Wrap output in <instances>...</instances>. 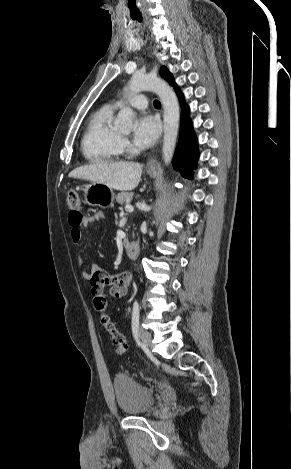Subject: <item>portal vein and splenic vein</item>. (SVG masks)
<instances>
[{"mask_svg":"<svg viewBox=\"0 0 291 469\" xmlns=\"http://www.w3.org/2000/svg\"><path fill=\"white\" fill-rule=\"evenodd\" d=\"M125 209L128 210V211H133V210H134L133 206L130 205V204H127V205L125 206Z\"/></svg>","mask_w":291,"mask_h":469,"instance_id":"obj_1","label":"portal vein and splenic vein"}]
</instances>
